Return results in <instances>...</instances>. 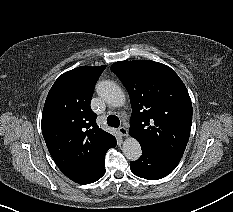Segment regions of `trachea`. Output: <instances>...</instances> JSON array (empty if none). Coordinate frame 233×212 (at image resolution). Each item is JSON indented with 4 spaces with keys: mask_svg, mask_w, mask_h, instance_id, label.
Wrapping results in <instances>:
<instances>
[{
    "mask_svg": "<svg viewBox=\"0 0 233 212\" xmlns=\"http://www.w3.org/2000/svg\"><path fill=\"white\" fill-rule=\"evenodd\" d=\"M107 124L109 126H111V127L117 128L120 125V120H119V118L117 116L110 115V116L107 117Z\"/></svg>",
    "mask_w": 233,
    "mask_h": 212,
    "instance_id": "3493384b",
    "label": "trachea"
}]
</instances>
